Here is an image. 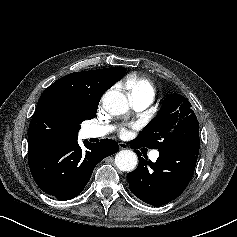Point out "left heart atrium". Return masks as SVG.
Instances as JSON below:
<instances>
[{
	"mask_svg": "<svg viewBox=\"0 0 237 237\" xmlns=\"http://www.w3.org/2000/svg\"><path fill=\"white\" fill-rule=\"evenodd\" d=\"M121 134H122V135H126V130L123 129V130L121 131Z\"/></svg>",
	"mask_w": 237,
	"mask_h": 237,
	"instance_id": "obj_1",
	"label": "left heart atrium"
}]
</instances>
